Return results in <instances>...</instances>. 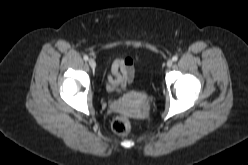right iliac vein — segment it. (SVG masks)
<instances>
[{"mask_svg":"<svg viewBox=\"0 0 248 165\" xmlns=\"http://www.w3.org/2000/svg\"><path fill=\"white\" fill-rule=\"evenodd\" d=\"M88 63H89V65H90L91 68H95V67H96V62H95V60L92 59V58H90V59L88 60Z\"/></svg>","mask_w":248,"mask_h":165,"instance_id":"obj_1","label":"right iliac vein"}]
</instances>
